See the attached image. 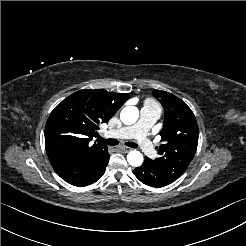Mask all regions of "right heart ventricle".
I'll list each match as a JSON object with an SVG mask.
<instances>
[{
  "instance_id": "obj_1",
  "label": "right heart ventricle",
  "mask_w": 246,
  "mask_h": 246,
  "mask_svg": "<svg viewBox=\"0 0 246 246\" xmlns=\"http://www.w3.org/2000/svg\"><path fill=\"white\" fill-rule=\"evenodd\" d=\"M151 107L159 108L158 104L154 100H152V99H146L144 101V108H151Z\"/></svg>"
}]
</instances>
